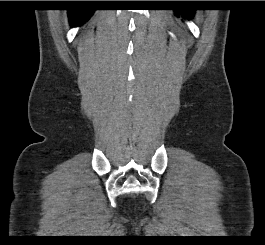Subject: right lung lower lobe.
I'll list each match as a JSON object with an SVG mask.
<instances>
[{
  "label": "right lung lower lobe",
  "mask_w": 265,
  "mask_h": 245,
  "mask_svg": "<svg viewBox=\"0 0 265 245\" xmlns=\"http://www.w3.org/2000/svg\"><path fill=\"white\" fill-rule=\"evenodd\" d=\"M68 15L70 19V24L72 26H77L85 22L92 14L94 10L92 9H74L68 10Z\"/></svg>",
  "instance_id": "obj_1"
}]
</instances>
